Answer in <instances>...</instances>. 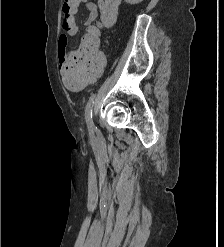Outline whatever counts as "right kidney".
I'll list each match as a JSON object with an SVG mask.
<instances>
[{"label": "right kidney", "mask_w": 224, "mask_h": 247, "mask_svg": "<svg viewBox=\"0 0 224 247\" xmlns=\"http://www.w3.org/2000/svg\"><path fill=\"white\" fill-rule=\"evenodd\" d=\"M127 4H140V2H143V0H125Z\"/></svg>", "instance_id": "right-kidney-1"}]
</instances>
